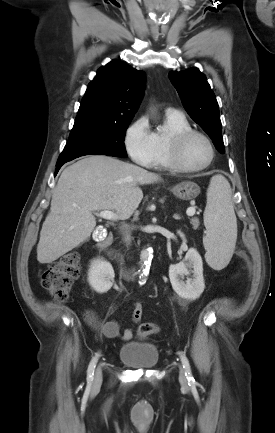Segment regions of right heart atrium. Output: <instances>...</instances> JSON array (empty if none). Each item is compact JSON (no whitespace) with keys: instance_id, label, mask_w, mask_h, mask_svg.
I'll return each instance as SVG.
<instances>
[{"instance_id":"1","label":"right heart atrium","mask_w":275,"mask_h":433,"mask_svg":"<svg viewBox=\"0 0 275 433\" xmlns=\"http://www.w3.org/2000/svg\"><path fill=\"white\" fill-rule=\"evenodd\" d=\"M126 150L138 165L148 167L154 155L152 131L145 116L137 118L126 130L124 135Z\"/></svg>"}]
</instances>
